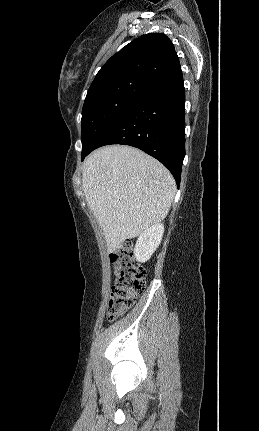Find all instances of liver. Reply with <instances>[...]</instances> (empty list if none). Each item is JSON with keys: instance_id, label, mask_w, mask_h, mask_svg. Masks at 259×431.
I'll use <instances>...</instances> for the list:
<instances>
[{"instance_id": "liver-1", "label": "liver", "mask_w": 259, "mask_h": 431, "mask_svg": "<svg viewBox=\"0 0 259 431\" xmlns=\"http://www.w3.org/2000/svg\"><path fill=\"white\" fill-rule=\"evenodd\" d=\"M82 187L108 253L162 221L176 192L173 176L160 162L124 145L91 153L83 165Z\"/></svg>"}]
</instances>
